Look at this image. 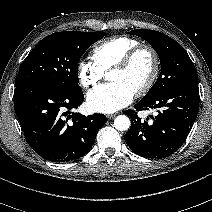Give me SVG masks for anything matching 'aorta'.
Masks as SVG:
<instances>
[{
    "instance_id": "obj_1",
    "label": "aorta",
    "mask_w": 212,
    "mask_h": 212,
    "mask_svg": "<svg viewBox=\"0 0 212 212\" xmlns=\"http://www.w3.org/2000/svg\"><path fill=\"white\" fill-rule=\"evenodd\" d=\"M130 125V119L126 115H119L114 120V127L119 131L128 130Z\"/></svg>"
}]
</instances>
